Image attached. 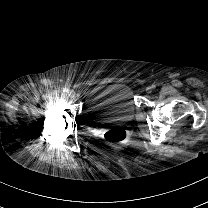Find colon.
I'll return each mask as SVG.
<instances>
[{
	"mask_svg": "<svg viewBox=\"0 0 208 208\" xmlns=\"http://www.w3.org/2000/svg\"><path fill=\"white\" fill-rule=\"evenodd\" d=\"M127 137V132L123 128H114L109 131H107L103 139L105 140L106 143L108 144H119L122 143Z\"/></svg>",
	"mask_w": 208,
	"mask_h": 208,
	"instance_id": "colon-1",
	"label": "colon"
}]
</instances>
